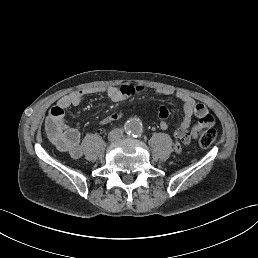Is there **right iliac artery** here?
<instances>
[{
  "label": "right iliac artery",
  "mask_w": 258,
  "mask_h": 258,
  "mask_svg": "<svg viewBox=\"0 0 258 258\" xmlns=\"http://www.w3.org/2000/svg\"><path fill=\"white\" fill-rule=\"evenodd\" d=\"M133 123H134L133 121H129L128 123H126L124 126L125 130L128 131L131 128V126L133 125Z\"/></svg>",
  "instance_id": "82829eb1"
}]
</instances>
